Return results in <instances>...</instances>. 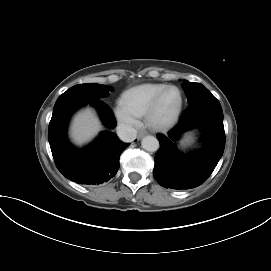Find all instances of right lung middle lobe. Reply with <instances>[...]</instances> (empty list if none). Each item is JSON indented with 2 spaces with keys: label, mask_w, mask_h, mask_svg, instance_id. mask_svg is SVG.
<instances>
[{
  "label": "right lung middle lobe",
  "mask_w": 271,
  "mask_h": 271,
  "mask_svg": "<svg viewBox=\"0 0 271 271\" xmlns=\"http://www.w3.org/2000/svg\"><path fill=\"white\" fill-rule=\"evenodd\" d=\"M108 91V88L104 85H98L95 83L79 84L69 88L66 92L60 95L56 103L62 101L102 99L109 94Z\"/></svg>",
  "instance_id": "right-lung-middle-lobe-1"
}]
</instances>
